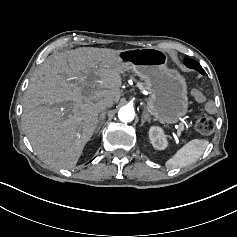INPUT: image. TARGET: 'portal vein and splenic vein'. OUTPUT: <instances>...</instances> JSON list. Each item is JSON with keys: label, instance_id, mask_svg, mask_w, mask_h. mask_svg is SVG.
<instances>
[{"label": "portal vein and splenic vein", "instance_id": "1", "mask_svg": "<svg viewBox=\"0 0 237 237\" xmlns=\"http://www.w3.org/2000/svg\"><path fill=\"white\" fill-rule=\"evenodd\" d=\"M178 127L180 128V129H179V132L182 134V133L184 132V130H185L184 127H183V124L180 123V124L178 125Z\"/></svg>", "mask_w": 237, "mask_h": 237}]
</instances>
